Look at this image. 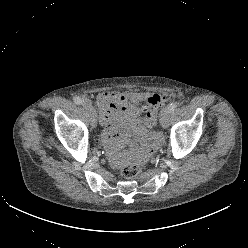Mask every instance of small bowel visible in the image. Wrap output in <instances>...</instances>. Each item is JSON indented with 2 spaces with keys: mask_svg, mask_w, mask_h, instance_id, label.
I'll list each match as a JSON object with an SVG mask.
<instances>
[{
  "mask_svg": "<svg viewBox=\"0 0 248 248\" xmlns=\"http://www.w3.org/2000/svg\"><path fill=\"white\" fill-rule=\"evenodd\" d=\"M150 97L147 93L117 91L102 92L97 96L100 122L104 127V135L108 142L107 156L112 165L117 166L121 162V156L113 145L114 140L118 139V135L114 134L113 130L115 124L122 119L131 125L137 140L134 150L140 154L153 151L160 142L157 133L145 129L139 123V117L146 109V107H140V104L147 103ZM150 141H152L151 144Z\"/></svg>",
  "mask_w": 248,
  "mask_h": 248,
  "instance_id": "obj_1",
  "label": "small bowel"
}]
</instances>
